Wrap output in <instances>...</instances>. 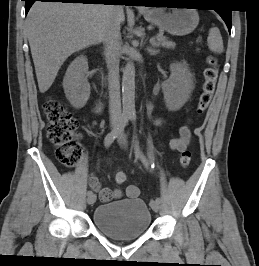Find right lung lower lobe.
I'll use <instances>...</instances> for the list:
<instances>
[{
  "instance_id": "1",
  "label": "right lung lower lobe",
  "mask_w": 259,
  "mask_h": 266,
  "mask_svg": "<svg viewBox=\"0 0 259 266\" xmlns=\"http://www.w3.org/2000/svg\"><path fill=\"white\" fill-rule=\"evenodd\" d=\"M26 1L25 12L28 13L30 7L35 1L42 2H62V3H84V4H106V3H124V5H129L128 0H22Z\"/></svg>"
}]
</instances>
